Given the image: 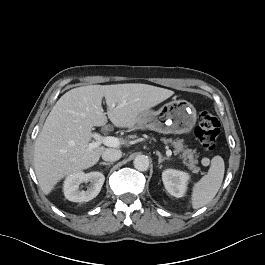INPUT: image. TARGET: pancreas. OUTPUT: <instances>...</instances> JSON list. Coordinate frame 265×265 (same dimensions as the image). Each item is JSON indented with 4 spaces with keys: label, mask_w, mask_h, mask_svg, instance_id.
<instances>
[{
    "label": "pancreas",
    "mask_w": 265,
    "mask_h": 265,
    "mask_svg": "<svg viewBox=\"0 0 265 265\" xmlns=\"http://www.w3.org/2000/svg\"><path fill=\"white\" fill-rule=\"evenodd\" d=\"M164 143H171L174 148V154H179V157L183 160V163L188 166V168L193 173H198L200 168L196 166L198 160L196 159L198 156L194 155L195 151L192 149H188L186 145H184L182 139L172 140V139H163Z\"/></svg>",
    "instance_id": "obj_1"
}]
</instances>
